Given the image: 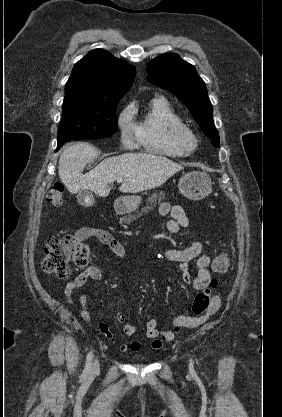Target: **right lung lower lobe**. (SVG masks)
<instances>
[{"mask_svg": "<svg viewBox=\"0 0 282 417\" xmlns=\"http://www.w3.org/2000/svg\"><path fill=\"white\" fill-rule=\"evenodd\" d=\"M64 143H62V144H58V146H57V150H59L61 147H62V145H63ZM56 150V151H57Z\"/></svg>", "mask_w": 282, "mask_h": 417, "instance_id": "right-lung-lower-lobe-1", "label": "right lung lower lobe"}]
</instances>
